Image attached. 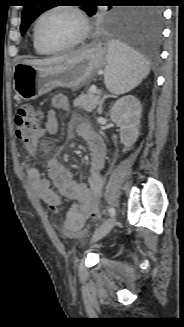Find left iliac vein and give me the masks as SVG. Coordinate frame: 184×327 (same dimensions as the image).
Returning a JSON list of instances; mask_svg holds the SVG:
<instances>
[{
    "instance_id": "obj_1",
    "label": "left iliac vein",
    "mask_w": 184,
    "mask_h": 327,
    "mask_svg": "<svg viewBox=\"0 0 184 327\" xmlns=\"http://www.w3.org/2000/svg\"><path fill=\"white\" fill-rule=\"evenodd\" d=\"M116 223V217H111L102 227H100L93 235L91 242H97L98 240L102 239L106 236L110 230L114 227Z\"/></svg>"
}]
</instances>
